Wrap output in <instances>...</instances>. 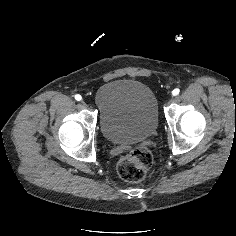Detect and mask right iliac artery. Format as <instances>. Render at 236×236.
<instances>
[{
    "instance_id": "82829eb1",
    "label": "right iliac artery",
    "mask_w": 236,
    "mask_h": 236,
    "mask_svg": "<svg viewBox=\"0 0 236 236\" xmlns=\"http://www.w3.org/2000/svg\"><path fill=\"white\" fill-rule=\"evenodd\" d=\"M75 99H76L77 101H80V100L82 99V97H81V95L76 94V95H75Z\"/></svg>"
}]
</instances>
